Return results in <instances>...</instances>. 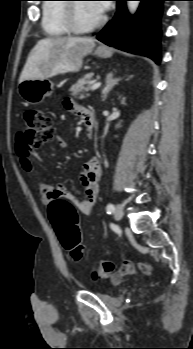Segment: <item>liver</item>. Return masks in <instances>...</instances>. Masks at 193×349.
Returning <instances> with one entry per match:
<instances>
[{
  "label": "liver",
  "instance_id": "6515ba94",
  "mask_svg": "<svg viewBox=\"0 0 193 349\" xmlns=\"http://www.w3.org/2000/svg\"><path fill=\"white\" fill-rule=\"evenodd\" d=\"M95 47V40L79 37H49L37 42L31 50L19 78L47 79L58 74L79 71L83 57Z\"/></svg>",
  "mask_w": 193,
  "mask_h": 349
}]
</instances>
